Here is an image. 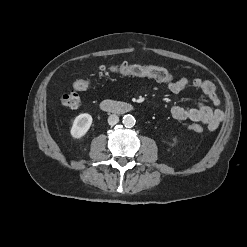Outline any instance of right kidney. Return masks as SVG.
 <instances>
[{"mask_svg":"<svg viewBox=\"0 0 247 247\" xmlns=\"http://www.w3.org/2000/svg\"><path fill=\"white\" fill-rule=\"evenodd\" d=\"M92 116L88 113L78 115L73 121L71 135L73 138H81L86 135L92 124Z\"/></svg>","mask_w":247,"mask_h":247,"instance_id":"obj_1","label":"right kidney"}]
</instances>
